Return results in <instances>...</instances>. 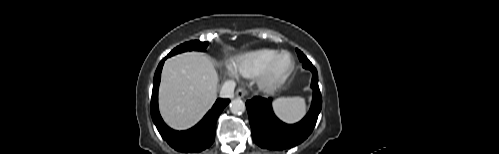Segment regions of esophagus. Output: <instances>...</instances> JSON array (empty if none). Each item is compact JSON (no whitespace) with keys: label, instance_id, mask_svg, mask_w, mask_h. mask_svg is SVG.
<instances>
[{"label":"esophagus","instance_id":"obj_1","mask_svg":"<svg viewBox=\"0 0 499 154\" xmlns=\"http://www.w3.org/2000/svg\"><path fill=\"white\" fill-rule=\"evenodd\" d=\"M247 90L243 87H239L237 90H236V96L238 98H245L247 96Z\"/></svg>","mask_w":499,"mask_h":154}]
</instances>
